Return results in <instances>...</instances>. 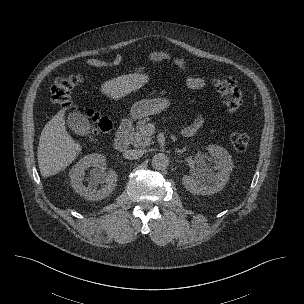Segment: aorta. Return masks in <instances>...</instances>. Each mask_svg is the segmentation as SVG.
Wrapping results in <instances>:
<instances>
[{"label": "aorta", "mask_w": 304, "mask_h": 304, "mask_svg": "<svg viewBox=\"0 0 304 304\" xmlns=\"http://www.w3.org/2000/svg\"><path fill=\"white\" fill-rule=\"evenodd\" d=\"M169 166V158L164 153H157L152 157V167L156 170H165Z\"/></svg>", "instance_id": "1"}]
</instances>
